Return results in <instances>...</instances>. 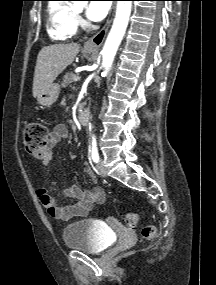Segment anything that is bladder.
I'll return each mask as SVG.
<instances>
[{
  "label": "bladder",
  "instance_id": "1",
  "mask_svg": "<svg viewBox=\"0 0 216 285\" xmlns=\"http://www.w3.org/2000/svg\"><path fill=\"white\" fill-rule=\"evenodd\" d=\"M65 245L77 251L99 254L114 242L113 233L92 219H81L68 224L63 230Z\"/></svg>",
  "mask_w": 216,
  "mask_h": 285
}]
</instances>
